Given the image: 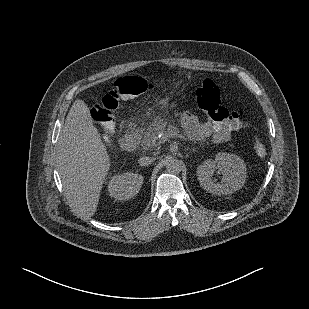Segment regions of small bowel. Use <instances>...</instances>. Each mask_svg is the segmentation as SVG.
Masks as SVG:
<instances>
[{"label": "small bowel", "mask_w": 309, "mask_h": 309, "mask_svg": "<svg viewBox=\"0 0 309 309\" xmlns=\"http://www.w3.org/2000/svg\"><path fill=\"white\" fill-rule=\"evenodd\" d=\"M187 137L192 141L210 139L214 143H224L231 139L234 127L222 126L210 121H200L195 115L187 114L183 120Z\"/></svg>", "instance_id": "small-bowel-1"}]
</instances>
